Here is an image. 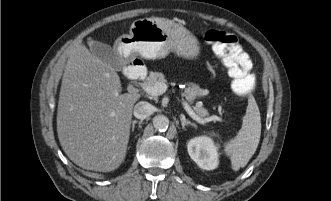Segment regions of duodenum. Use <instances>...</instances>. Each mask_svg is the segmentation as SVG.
<instances>
[{"instance_id":"obj_1","label":"duodenum","mask_w":331,"mask_h":201,"mask_svg":"<svg viewBox=\"0 0 331 201\" xmlns=\"http://www.w3.org/2000/svg\"><path fill=\"white\" fill-rule=\"evenodd\" d=\"M126 75L130 79H141L146 73V67L143 61L139 58L129 59L127 62Z\"/></svg>"}]
</instances>
